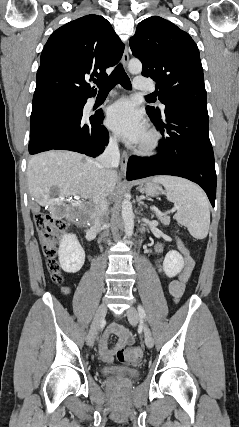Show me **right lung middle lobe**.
I'll return each instance as SVG.
<instances>
[{"mask_svg": "<svg viewBox=\"0 0 239 427\" xmlns=\"http://www.w3.org/2000/svg\"><path fill=\"white\" fill-rule=\"evenodd\" d=\"M71 100L67 96H49L33 99V107L30 119V135L39 127L43 119L56 110L62 108Z\"/></svg>", "mask_w": 239, "mask_h": 427, "instance_id": "right-lung-middle-lobe-1", "label": "right lung middle lobe"}]
</instances>
